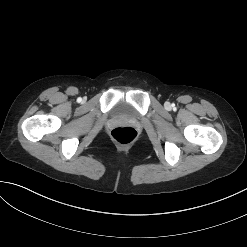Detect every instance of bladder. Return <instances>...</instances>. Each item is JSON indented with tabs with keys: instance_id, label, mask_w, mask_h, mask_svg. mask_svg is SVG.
<instances>
[{
	"instance_id": "bladder-1",
	"label": "bladder",
	"mask_w": 247,
	"mask_h": 247,
	"mask_svg": "<svg viewBox=\"0 0 247 247\" xmlns=\"http://www.w3.org/2000/svg\"><path fill=\"white\" fill-rule=\"evenodd\" d=\"M128 107L124 103H119L116 108L115 112L117 115H125L127 113Z\"/></svg>"
}]
</instances>
